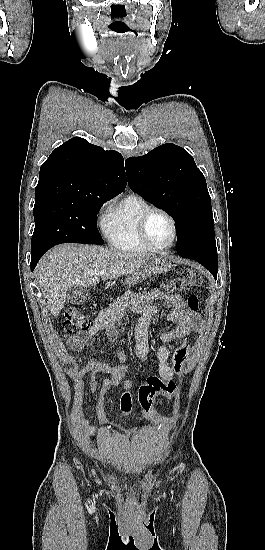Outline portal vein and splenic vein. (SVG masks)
I'll list each match as a JSON object with an SVG mask.
<instances>
[{
    "instance_id": "18ae733b",
    "label": "portal vein and splenic vein",
    "mask_w": 265,
    "mask_h": 550,
    "mask_svg": "<svg viewBox=\"0 0 265 550\" xmlns=\"http://www.w3.org/2000/svg\"><path fill=\"white\" fill-rule=\"evenodd\" d=\"M104 274H105V272H104V271H101V272H100V275H104Z\"/></svg>"
}]
</instances>
